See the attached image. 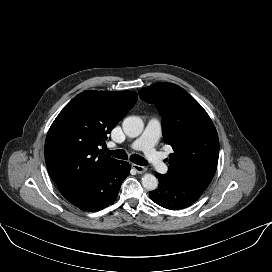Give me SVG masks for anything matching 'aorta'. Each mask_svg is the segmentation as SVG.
<instances>
[{
  "instance_id": "762f6f07",
  "label": "aorta",
  "mask_w": 272,
  "mask_h": 272,
  "mask_svg": "<svg viewBox=\"0 0 272 272\" xmlns=\"http://www.w3.org/2000/svg\"><path fill=\"white\" fill-rule=\"evenodd\" d=\"M122 126L127 136L137 137L142 133L144 123L137 116H129L124 119ZM142 185L149 191L155 190L158 187V179L154 175L147 173L142 177Z\"/></svg>"
}]
</instances>
